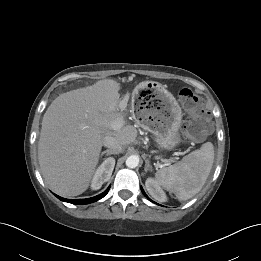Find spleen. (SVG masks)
Instances as JSON below:
<instances>
[{
  "mask_svg": "<svg viewBox=\"0 0 261 261\" xmlns=\"http://www.w3.org/2000/svg\"><path fill=\"white\" fill-rule=\"evenodd\" d=\"M213 161L214 146L211 142H206L178 163L158 170L155 174L156 181L179 200L190 199L202 189Z\"/></svg>",
  "mask_w": 261,
  "mask_h": 261,
  "instance_id": "spleen-1",
  "label": "spleen"
}]
</instances>
